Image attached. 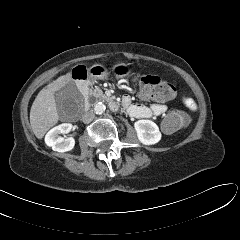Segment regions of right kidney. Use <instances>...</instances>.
<instances>
[{"label":"right kidney","mask_w":240,"mask_h":240,"mask_svg":"<svg viewBox=\"0 0 240 240\" xmlns=\"http://www.w3.org/2000/svg\"><path fill=\"white\" fill-rule=\"evenodd\" d=\"M72 130V125L69 123L60 124L52 128L45 136V143L52 147L54 151L66 152L74 148L75 140L72 137L64 139L59 134H65Z\"/></svg>","instance_id":"ca27d5eb"}]
</instances>
